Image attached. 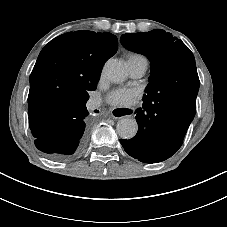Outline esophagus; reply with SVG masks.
<instances>
[{"label": "esophagus", "mask_w": 227, "mask_h": 227, "mask_svg": "<svg viewBox=\"0 0 227 227\" xmlns=\"http://www.w3.org/2000/svg\"><path fill=\"white\" fill-rule=\"evenodd\" d=\"M132 114H134V109H114L112 111L113 117L131 116Z\"/></svg>", "instance_id": "34e87169"}]
</instances>
